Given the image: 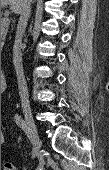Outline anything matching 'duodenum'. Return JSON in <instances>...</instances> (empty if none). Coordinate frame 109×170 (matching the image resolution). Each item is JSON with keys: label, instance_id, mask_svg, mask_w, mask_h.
Masks as SVG:
<instances>
[{"label": "duodenum", "instance_id": "obj_1", "mask_svg": "<svg viewBox=\"0 0 109 170\" xmlns=\"http://www.w3.org/2000/svg\"><path fill=\"white\" fill-rule=\"evenodd\" d=\"M7 89V76L6 73L3 71L1 72V90L5 91Z\"/></svg>", "mask_w": 109, "mask_h": 170}]
</instances>
